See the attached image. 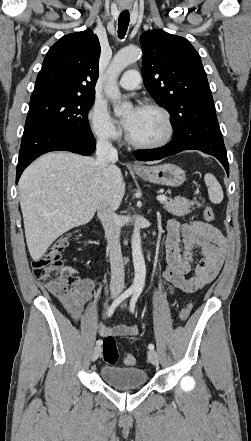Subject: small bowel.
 <instances>
[{
  "instance_id": "small-bowel-1",
  "label": "small bowel",
  "mask_w": 251,
  "mask_h": 441,
  "mask_svg": "<svg viewBox=\"0 0 251 441\" xmlns=\"http://www.w3.org/2000/svg\"><path fill=\"white\" fill-rule=\"evenodd\" d=\"M224 247L225 240L214 226L203 221L180 223L176 219H170L167 223L165 241L166 268L162 276L169 293L173 294L175 289L185 293H195L211 283L223 265ZM198 249L202 251L203 257L195 263ZM192 269L194 275L188 278L187 275ZM48 287L70 317L78 323L83 322L86 304L94 293V281L80 278L75 286L63 291ZM95 328L102 337H132L138 334L137 326L128 324L110 327L96 322Z\"/></svg>"
}]
</instances>
